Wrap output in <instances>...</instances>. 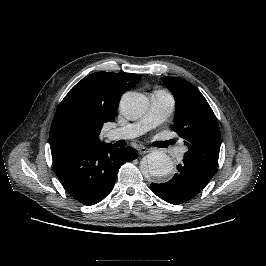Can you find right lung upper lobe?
<instances>
[{
    "instance_id": "right-lung-upper-lobe-1",
    "label": "right lung upper lobe",
    "mask_w": 266,
    "mask_h": 266,
    "mask_svg": "<svg viewBox=\"0 0 266 266\" xmlns=\"http://www.w3.org/2000/svg\"><path fill=\"white\" fill-rule=\"evenodd\" d=\"M139 81L132 73L96 72L78 82L53 118L51 153L104 144L99 139L103 124L114 121L121 94Z\"/></svg>"
}]
</instances>
